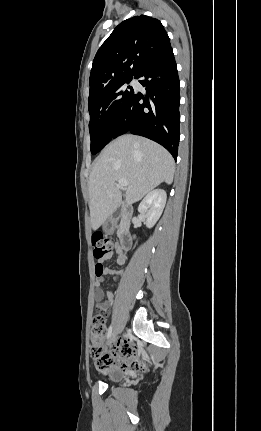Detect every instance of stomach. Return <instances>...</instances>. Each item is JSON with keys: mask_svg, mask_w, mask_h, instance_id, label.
Segmentation results:
<instances>
[{"mask_svg": "<svg viewBox=\"0 0 261 431\" xmlns=\"http://www.w3.org/2000/svg\"><path fill=\"white\" fill-rule=\"evenodd\" d=\"M114 227H115L114 222L109 220L103 224V231L106 234H112L114 231Z\"/></svg>", "mask_w": 261, "mask_h": 431, "instance_id": "stomach-1", "label": "stomach"}]
</instances>
